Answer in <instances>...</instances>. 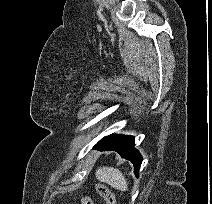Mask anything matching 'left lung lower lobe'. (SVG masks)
Wrapping results in <instances>:
<instances>
[{"label":"left lung lower lobe","instance_id":"left-lung-lower-lobe-1","mask_svg":"<svg viewBox=\"0 0 212 204\" xmlns=\"http://www.w3.org/2000/svg\"><path fill=\"white\" fill-rule=\"evenodd\" d=\"M134 137L110 135L101 139L93 149L99 151H116L122 158L130 160L134 165V173L138 176V171L142 162V157L139 152L134 149Z\"/></svg>","mask_w":212,"mask_h":204}]
</instances>
